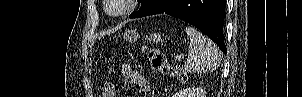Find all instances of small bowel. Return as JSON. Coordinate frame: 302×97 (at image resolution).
Instances as JSON below:
<instances>
[{"label": "small bowel", "mask_w": 302, "mask_h": 97, "mask_svg": "<svg viewBox=\"0 0 302 97\" xmlns=\"http://www.w3.org/2000/svg\"><path fill=\"white\" fill-rule=\"evenodd\" d=\"M122 78L125 83L130 82L141 93L150 90V83L139 71L132 69L129 65L122 66Z\"/></svg>", "instance_id": "1"}]
</instances>
